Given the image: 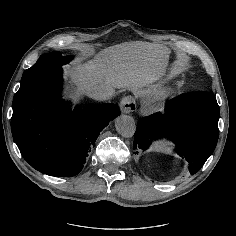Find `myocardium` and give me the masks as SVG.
<instances>
[{"instance_id": "myocardium-1", "label": "myocardium", "mask_w": 236, "mask_h": 236, "mask_svg": "<svg viewBox=\"0 0 236 236\" xmlns=\"http://www.w3.org/2000/svg\"><path fill=\"white\" fill-rule=\"evenodd\" d=\"M169 95V91H161L152 95L146 101V109L150 112L158 111L165 104Z\"/></svg>"}]
</instances>
